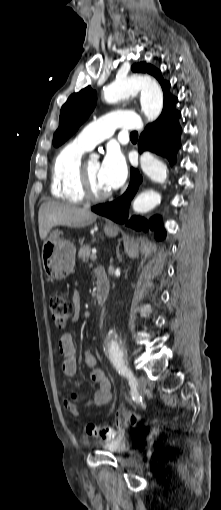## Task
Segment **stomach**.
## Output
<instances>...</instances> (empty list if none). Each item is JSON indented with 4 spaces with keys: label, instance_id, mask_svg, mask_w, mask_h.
I'll return each instance as SVG.
<instances>
[{
    "label": "stomach",
    "instance_id": "0dacf381",
    "mask_svg": "<svg viewBox=\"0 0 221 510\" xmlns=\"http://www.w3.org/2000/svg\"><path fill=\"white\" fill-rule=\"evenodd\" d=\"M104 232L109 237H115L118 234V228L105 226ZM60 234L59 230L52 231L42 247L44 270L51 281L65 279L75 266L76 247L72 242L60 238Z\"/></svg>",
    "mask_w": 221,
    "mask_h": 510
}]
</instances>
